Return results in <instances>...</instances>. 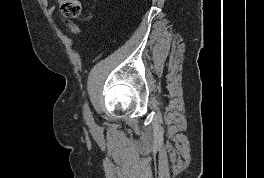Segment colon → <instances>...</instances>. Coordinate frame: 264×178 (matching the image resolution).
Segmentation results:
<instances>
[{
  "label": "colon",
  "mask_w": 264,
  "mask_h": 178,
  "mask_svg": "<svg viewBox=\"0 0 264 178\" xmlns=\"http://www.w3.org/2000/svg\"><path fill=\"white\" fill-rule=\"evenodd\" d=\"M60 11L64 17L76 18L80 15L81 5L78 0H58Z\"/></svg>",
  "instance_id": "1"
}]
</instances>
